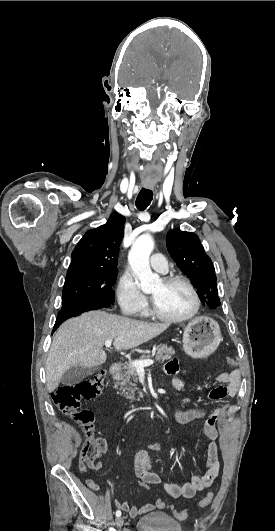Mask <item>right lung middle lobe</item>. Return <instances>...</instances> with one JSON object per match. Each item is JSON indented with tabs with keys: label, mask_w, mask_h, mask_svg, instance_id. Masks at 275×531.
Returning a JSON list of instances; mask_svg holds the SVG:
<instances>
[{
	"label": "right lung middle lobe",
	"mask_w": 275,
	"mask_h": 531,
	"mask_svg": "<svg viewBox=\"0 0 275 531\" xmlns=\"http://www.w3.org/2000/svg\"><path fill=\"white\" fill-rule=\"evenodd\" d=\"M117 270H84L67 273L62 299L109 307L114 303L113 284Z\"/></svg>",
	"instance_id": "dd1d6c3e"
}]
</instances>
